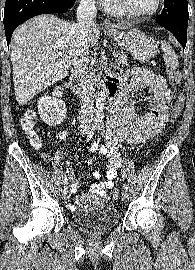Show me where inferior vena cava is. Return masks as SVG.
Here are the masks:
<instances>
[{
  "mask_svg": "<svg viewBox=\"0 0 195 270\" xmlns=\"http://www.w3.org/2000/svg\"><path fill=\"white\" fill-rule=\"evenodd\" d=\"M97 16L95 0H80L77 8V23L74 25V33L76 38V49L73 55V65L85 81L83 87V95L81 99V108L79 110L81 128L89 130V126L93 118V100L87 89L88 63H89V44L88 32L95 25L94 19Z\"/></svg>",
  "mask_w": 195,
  "mask_h": 270,
  "instance_id": "1",
  "label": "inferior vena cava"
}]
</instances>
